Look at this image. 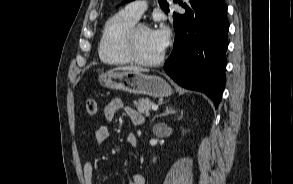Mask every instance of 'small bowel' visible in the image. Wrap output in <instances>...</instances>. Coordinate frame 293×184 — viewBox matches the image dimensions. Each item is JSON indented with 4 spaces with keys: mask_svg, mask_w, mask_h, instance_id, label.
Here are the masks:
<instances>
[{
    "mask_svg": "<svg viewBox=\"0 0 293 184\" xmlns=\"http://www.w3.org/2000/svg\"><path fill=\"white\" fill-rule=\"evenodd\" d=\"M123 112L134 125H140L143 123V116L140 112L126 106L119 98L111 100L104 109V117L106 121H112L116 114ZM109 137V131L106 125H100L95 132V138L98 144H103ZM127 142L130 146H137V138L134 134L127 135ZM94 169L90 161H85L83 164V178L85 184H93ZM145 179L141 174H135L133 179L128 184H144Z\"/></svg>",
    "mask_w": 293,
    "mask_h": 184,
    "instance_id": "c3829d8e",
    "label": "small bowel"
}]
</instances>
